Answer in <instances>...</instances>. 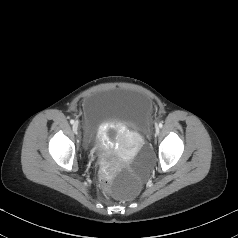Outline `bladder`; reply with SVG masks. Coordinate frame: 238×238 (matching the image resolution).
Segmentation results:
<instances>
[{
	"mask_svg": "<svg viewBox=\"0 0 238 238\" xmlns=\"http://www.w3.org/2000/svg\"><path fill=\"white\" fill-rule=\"evenodd\" d=\"M152 102L135 91L109 89L98 92L84 101V140L88 145L95 142L101 125L121 122L132 130L145 134L151 124Z\"/></svg>",
	"mask_w": 238,
	"mask_h": 238,
	"instance_id": "1",
	"label": "bladder"
}]
</instances>
